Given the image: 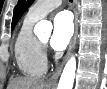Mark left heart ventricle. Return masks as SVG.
I'll return each instance as SVG.
<instances>
[{"label":"left heart ventricle","instance_id":"1","mask_svg":"<svg viewBox=\"0 0 107 89\" xmlns=\"http://www.w3.org/2000/svg\"><path fill=\"white\" fill-rule=\"evenodd\" d=\"M42 41H43V42H47V41H48V37L42 38Z\"/></svg>","mask_w":107,"mask_h":89}]
</instances>
